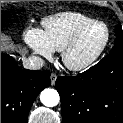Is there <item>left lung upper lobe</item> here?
<instances>
[{
  "label": "left lung upper lobe",
  "instance_id": "1",
  "mask_svg": "<svg viewBox=\"0 0 123 123\" xmlns=\"http://www.w3.org/2000/svg\"><path fill=\"white\" fill-rule=\"evenodd\" d=\"M115 32H116L117 38L115 40V45L110 51V53L123 50V31L119 24L116 26Z\"/></svg>",
  "mask_w": 123,
  "mask_h": 123
}]
</instances>
